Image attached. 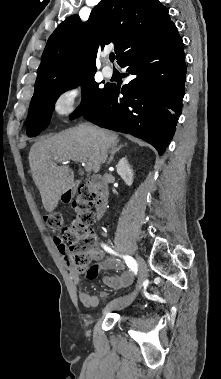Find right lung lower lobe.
I'll list each match as a JSON object with an SVG mask.
<instances>
[{"instance_id":"obj_1","label":"right lung lower lobe","mask_w":221,"mask_h":379,"mask_svg":"<svg viewBox=\"0 0 221 379\" xmlns=\"http://www.w3.org/2000/svg\"><path fill=\"white\" fill-rule=\"evenodd\" d=\"M132 80L110 84L82 115L97 126L141 138L162 155L182 110L186 63L174 23L118 62ZM122 94V96H120Z\"/></svg>"}]
</instances>
